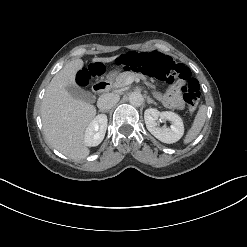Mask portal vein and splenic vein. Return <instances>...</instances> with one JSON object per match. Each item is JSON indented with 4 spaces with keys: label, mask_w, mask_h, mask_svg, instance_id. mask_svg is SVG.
I'll use <instances>...</instances> for the list:
<instances>
[{
    "label": "portal vein and splenic vein",
    "mask_w": 247,
    "mask_h": 247,
    "mask_svg": "<svg viewBox=\"0 0 247 247\" xmlns=\"http://www.w3.org/2000/svg\"><path fill=\"white\" fill-rule=\"evenodd\" d=\"M133 81H134L133 78H128L127 81H126V83H127V84H131Z\"/></svg>",
    "instance_id": "18ae733b"
}]
</instances>
